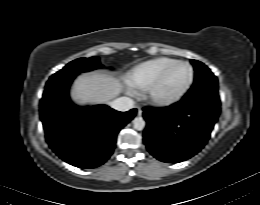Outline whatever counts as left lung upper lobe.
<instances>
[{
	"label": "left lung upper lobe",
	"instance_id": "5c2ea615",
	"mask_svg": "<svg viewBox=\"0 0 260 205\" xmlns=\"http://www.w3.org/2000/svg\"><path fill=\"white\" fill-rule=\"evenodd\" d=\"M191 63L195 69V80L185 97L204 98L220 104L216 76L203 63L197 60H191Z\"/></svg>",
	"mask_w": 260,
	"mask_h": 205
}]
</instances>
